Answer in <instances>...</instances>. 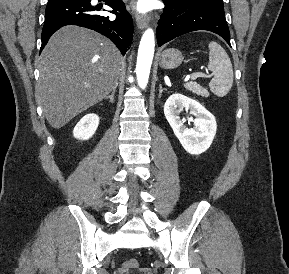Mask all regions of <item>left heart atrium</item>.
I'll list each match as a JSON object with an SVG mask.
<instances>
[{
  "label": "left heart atrium",
  "instance_id": "39dd6f15",
  "mask_svg": "<svg viewBox=\"0 0 289 274\" xmlns=\"http://www.w3.org/2000/svg\"><path fill=\"white\" fill-rule=\"evenodd\" d=\"M139 9L144 11L147 9V2L145 0H142L140 3H139Z\"/></svg>",
  "mask_w": 289,
  "mask_h": 274
}]
</instances>
